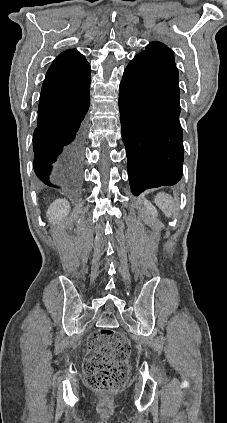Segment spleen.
<instances>
[{
    "mask_svg": "<svg viewBox=\"0 0 227 423\" xmlns=\"http://www.w3.org/2000/svg\"><path fill=\"white\" fill-rule=\"evenodd\" d=\"M155 204L158 206L159 210H162L165 213L166 217H172L176 210V202H174L172 196L169 194H164L160 192L155 196Z\"/></svg>",
    "mask_w": 227,
    "mask_h": 423,
    "instance_id": "1",
    "label": "spleen"
}]
</instances>
